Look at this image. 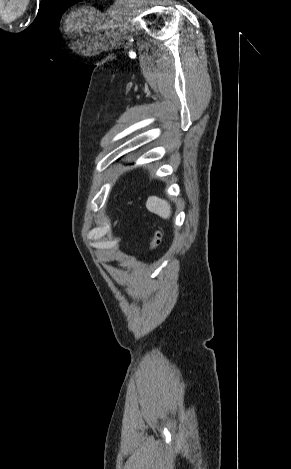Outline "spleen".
<instances>
[{
  "label": "spleen",
  "mask_w": 291,
  "mask_h": 469,
  "mask_svg": "<svg viewBox=\"0 0 291 469\" xmlns=\"http://www.w3.org/2000/svg\"><path fill=\"white\" fill-rule=\"evenodd\" d=\"M146 207L150 212L157 214L163 219H169L171 216L170 204L166 200L158 197H149L146 202Z\"/></svg>",
  "instance_id": "1"
}]
</instances>
